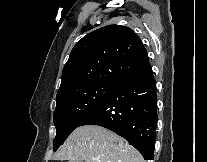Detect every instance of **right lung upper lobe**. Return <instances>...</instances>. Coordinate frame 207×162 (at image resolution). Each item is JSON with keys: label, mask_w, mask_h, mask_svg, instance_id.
I'll use <instances>...</instances> for the list:
<instances>
[{"label": "right lung upper lobe", "mask_w": 207, "mask_h": 162, "mask_svg": "<svg viewBox=\"0 0 207 162\" xmlns=\"http://www.w3.org/2000/svg\"><path fill=\"white\" fill-rule=\"evenodd\" d=\"M148 64L142 41L129 27H102L84 36L72 49L57 96L90 85L116 84Z\"/></svg>", "instance_id": "obj_1"}]
</instances>
